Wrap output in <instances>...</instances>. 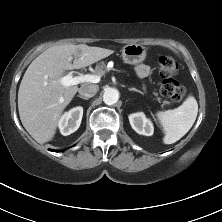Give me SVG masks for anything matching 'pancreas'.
Listing matches in <instances>:
<instances>
[{"instance_id":"obj_1","label":"pancreas","mask_w":222,"mask_h":222,"mask_svg":"<svg viewBox=\"0 0 222 222\" xmlns=\"http://www.w3.org/2000/svg\"><path fill=\"white\" fill-rule=\"evenodd\" d=\"M94 73L100 77L103 76L105 74V63L100 62L98 65H96ZM153 94L155 96H158L157 92H154ZM157 100H158V102H161V98L157 97ZM167 104H170V102L166 101V100L163 101L162 107Z\"/></svg>"}]
</instances>
